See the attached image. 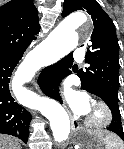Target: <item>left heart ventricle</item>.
I'll list each match as a JSON object with an SVG mask.
<instances>
[{
    "label": "left heart ventricle",
    "mask_w": 124,
    "mask_h": 149,
    "mask_svg": "<svg viewBox=\"0 0 124 149\" xmlns=\"http://www.w3.org/2000/svg\"><path fill=\"white\" fill-rule=\"evenodd\" d=\"M92 114H94V111L93 110L90 111V115H92Z\"/></svg>",
    "instance_id": "b2bd125f"
}]
</instances>
